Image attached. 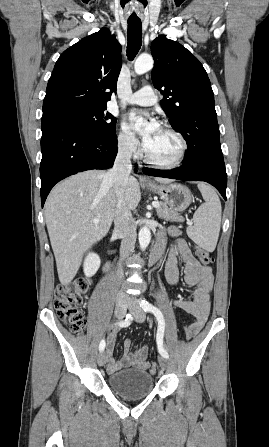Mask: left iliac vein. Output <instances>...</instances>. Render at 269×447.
Wrapping results in <instances>:
<instances>
[{
    "mask_svg": "<svg viewBox=\"0 0 269 447\" xmlns=\"http://www.w3.org/2000/svg\"><path fill=\"white\" fill-rule=\"evenodd\" d=\"M128 308L130 312L133 314L134 319L138 323H142L145 320V311L136 303V300L133 299L129 302ZM159 365L162 369L168 367L169 360L163 356L158 358Z\"/></svg>",
    "mask_w": 269,
    "mask_h": 447,
    "instance_id": "obj_1",
    "label": "left iliac vein"
}]
</instances>
